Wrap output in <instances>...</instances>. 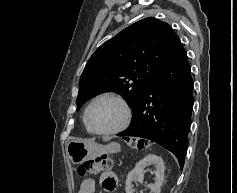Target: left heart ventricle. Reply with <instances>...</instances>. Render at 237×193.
<instances>
[{
	"mask_svg": "<svg viewBox=\"0 0 237 193\" xmlns=\"http://www.w3.org/2000/svg\"><path fill=\"white\" fill-rule=\"evenodd\" d=\"M124 111L119 103L111 99L98 101L90 111V122L98 130H110L119 126Z\"/></svg>",
	"mask_w": 237,
	"mask_h": 193,
	"instance_id": "b2bd125f",
	"label": "left heart ventricle"
}]
</instances>
